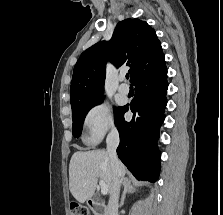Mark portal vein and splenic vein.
Returning a JSON list of instances; mask_svg holds the SVG:
<instances>
[{"label":"portal vein and splenic vein","mask_w":223,"mask_h":215,"mask_svg":"<svg viewBox=\"0 0 223 215\" xmlns=\"http://www.w3.org/2000/svg\"><path fill=\"white\" fill-rule=\"evenodd\" d=\"M99 185H101V193H108V185L103 179H100Z\"/></svg>","instance_id":"portal-vein-and-splenic-vein-1"}]
</instances>
